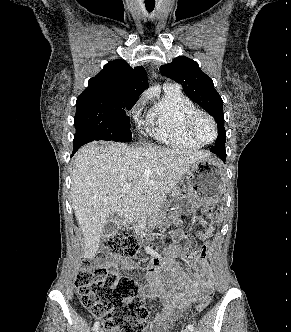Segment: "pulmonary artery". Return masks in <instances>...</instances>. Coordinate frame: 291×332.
<instances>
[{
  "mask_svg": "<svg viewBox=\"0 0 291 332\" xmlns=\"http://www.w3.org/2000/svg\"><path fill=\"white\" fill-rule=\"evenodd\" d=\"M165 86L167 88H176V89H178V86L176 84H174V83H167Z\"/></svg>",
  "mask_w": 291,
  "mask_h": 332,
  "instance_id": "pulmonary-artery-1",
  "label": "pulmonary artery"
}]
</instances>
